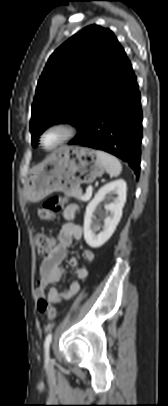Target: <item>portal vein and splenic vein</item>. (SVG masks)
<instances>
[{
  "label": "portal vein and splenic vein",
  "mask_w": 168,
  "mask_h": 406,
  "mask_svg": "<svg viewBox=\"0 0 168 406\" xmlns=\"http://www.w3.org/2000/svg\"><path fill=\"white\" fill-rule=\"evenodd\" d=\"M92 191H93V187L92 186H88L87 190H86V194L83 197L84 201H87L90 199V197L92 196Z\"/></svg>",
  "instance_id": "18ae733b"
}]
</instances>
